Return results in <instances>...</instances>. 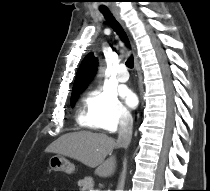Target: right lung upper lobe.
<instances>
[{
    "mask_svg": "<svg viewBox=\"0 0 210 191\" xmlns=\"http://www.w3.org/2000/svg\"><path fill=\"white\" fill-rule=\"evenodd\" d=\"M97 59L93 53L88 54L82 61L75 78L72 89L71 98L78 96V94L86 88L92 76L96 72Z\"/></svg>",
    "mask_w": 210,
    "mask_h": 191,
    "instance_id": "obj_1",
    "label": "right lung upper lobe"
}]
</instances>
